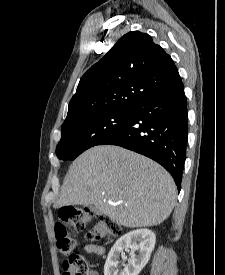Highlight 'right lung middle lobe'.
Segmentation results:
<instances>
[{
    "mask_svg": "<svg viewBox=\"0 0 225 275\" xmlns=\"http://www.w3.org/2000/svg\"><path fill=\"white\" fill-rule=\"evenodd\" d=\"M131 112L132 110H121L97 113L62 126L61 140L56 148L57 157L75 159L120 129L130 118Z\"/></svg>",
    "mask_w": 225,
    "mask_h": 275,
    "instance_id": "right-lung-middle-lobe-1",
    "label": "right lung middle lobe"
}]
</instances>
